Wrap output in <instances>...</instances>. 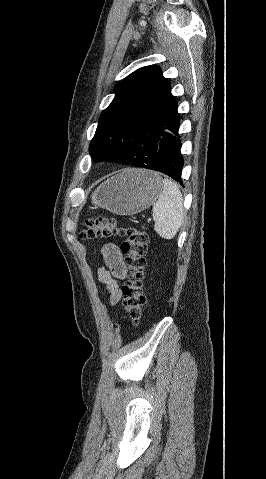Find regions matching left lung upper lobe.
<instances>
[{"mask_svg":"<svg viewBox=\"0 0 266 479\" xmlns=\"http://www.w3.org/2000/svg\"><path fill=\"white\" fill-rule=\"evenodd\" d=\"M102 112L89 152L95 161L141 166L155 158L165 119L175 102L157 66L136 70L118 82Z\"/></svg>","mask_w":266,"mask_h":479,"instance_id":"1","label":"left lung upper lobe"}]
</instances>
